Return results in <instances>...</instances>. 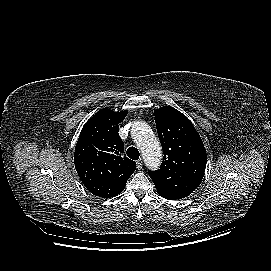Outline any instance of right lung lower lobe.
I'll return each mask as SVG.
<instances>
[{
	"instance_id": "right-lung-lower-lobe-1",
	"label": "right lung lower lobe",
	"mask_w": 271,
	"mask_h": 271,
	"mask_svg": "<svg viewBox=\"0 0 271 271\" xmlns=\"http://www.w3.org/2000/svg\"><path fill=\"white\" fill-rule=\"evenodd\" d=\"M85 187L94 195L96 196H100L102 198H104V196H106L107 198L113 197L118 195L119 193H121L123 191V189L125 188H118L116 185L114 184H103V183H99L96 185H89V184H85Z\"/></svg>"
}]
</instances>
